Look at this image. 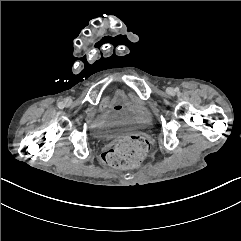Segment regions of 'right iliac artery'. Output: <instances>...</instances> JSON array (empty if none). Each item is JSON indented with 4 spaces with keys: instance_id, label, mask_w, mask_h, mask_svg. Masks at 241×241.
<instances>
[{
    "instance_id": "obj_1",
    "label": "right iliac artery",
    "mask_w": 241,
    "mask_h": 241,
    "mask_svg": "<svg viewBox=\"0 0 241 241\" xmlns=\"http://www.w3.org/2000/svg\"><path fill=\"white\" fill-rule=\"evenodd\" d=\"M58 107L61 109V108H64V104L62 102H59L58 103Z\"/></svg>"
}]
</instances>
